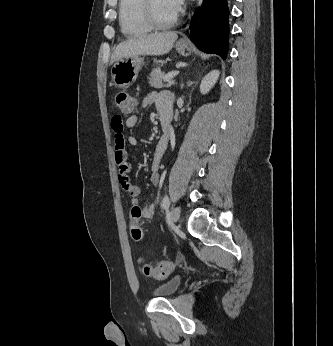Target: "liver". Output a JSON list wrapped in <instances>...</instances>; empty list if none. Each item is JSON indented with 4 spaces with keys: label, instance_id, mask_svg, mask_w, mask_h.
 <instances>
[{
    "label": "liver",
    "instance_id": "6515ba94",
    "mask_svg": "<svg viewBox=\"0 0 333 346\" xmlns=\"http://www.w3.org/2000/svg\"><path fill=\"white\" fill-rule=\"evenodd\" d=\"M177 38L175 32H163L128 39L115 48L111 62L139 55H164L172 49Z\"/></svg>",
    "mask_w": 333,
    "mask_h": 346
}]
</instances>
